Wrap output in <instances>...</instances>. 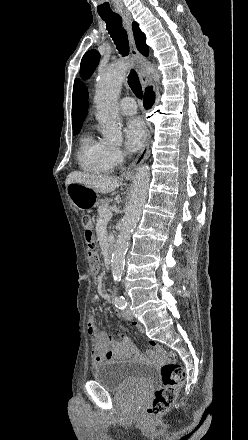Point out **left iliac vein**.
<instances>
[{"mask_svg":"<svg viewBox=\"0 0 248 440\" xmlns=\"http://www.w3.org/2000/svg\"><path fill=\"white\" fill-rule=\"evenodd\" d=\"M122 316L128 320L133 318V313L130 310V303L129 302H128V306L122 311Z\"/></svg>","mask_w":248,"mask_h":440,"instance_id":"obj_1","label":"left iliac vein"}]
</instances>
